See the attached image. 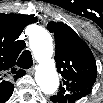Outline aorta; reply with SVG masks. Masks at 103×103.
<instances>
[{"instance_id": "1", "label": "aorta", "mask_w": 103, "mask_h": 103, "mask_svg": "<svg viewBox=\"0 0 103 103\" xmlns=\"http://www.w3.org/2000/svg\"><path fill=\"white\" fill-rule=\"evenodd\" d=\"M30 48L34 54L38 66L36 68L35 80L43 93L52 95L59 86V77L52 59L53 44L49 32L41 27L35 26L29 36Z\"/></svg>"}]
</instances>
